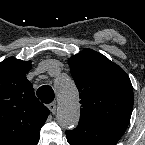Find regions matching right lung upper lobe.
<instances>
[{
    "label": "right lung upper lobe",
    "instance_id": "obj_1",
    "mask_svg": "<svg viewBox=\"0 0 145 145\" xmlns=\"http://www.w3.org/2000/svg\"><path fill=\"white\" fill-rule=\"evenodd\" d=\"M31 67L14 57L0 63V145H32L49 115L26 78Z\"/></svg>",
    "mask_w": 145,
    "mask_h": 145
}]
</instances>
